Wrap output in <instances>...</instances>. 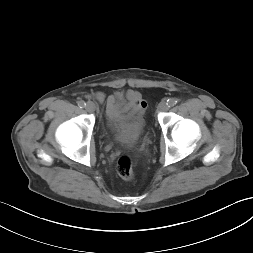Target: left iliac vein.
Segmentation results:
<instances>
[{
  "label": "left iliac vein",
  "instance_id": "left-iliac-vein-1",
  "mask_svg": "<svg viewBox=\"0 0 253 253\" xmlns=\"http://www.w3.org/2000/svg\"><path fill=\"white\" fill-rule=\"evenodd\" d=\"M170 108L169 104L166 101H161L158 105L159 111H167Z\"/></svg>",
  "mask_w": 253,
  "mask_h": 253
}]
</instances>
